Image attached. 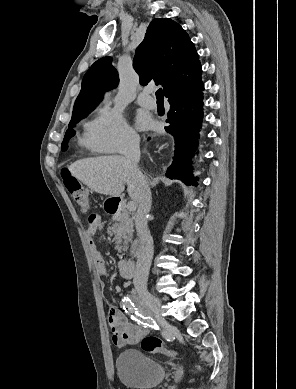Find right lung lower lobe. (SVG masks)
I'll return each mask as SVG.
<instances>
[{
    "label": "right lung lower lobe",
    "instance_id": "obj_1",
    "mask_svg": "<svg viewBox=\"0 0 296 389\" xmlns=\"http://www.w3.org/2000/svg\"><path fill=\"white\" fill-rule=\"evenodd\" d=\"M203 90V84L192 88L179 87L167 95L171 105L167 119L170 125L165 130L173 136L175 151L166 176L182 180L187 185H197L192 175L191 158L195 154L203 121Z\"/></svg>",
    "mask_w": 296,
    "mask_h": 389
}]
</instances>
